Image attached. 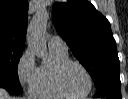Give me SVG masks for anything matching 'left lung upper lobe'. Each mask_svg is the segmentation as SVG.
<instances>
[{"mask_svg": "<svg viewBox=\"0 0 128 99\" xmlns=\"http://www.w3.org/2000/svg\"><path fill=\"white\" fill-rule=\"evenodd\" d=\"M57 32L89 72L96 88L110 79H120L116 42L109 21L86 0L53 5Z\"/></svg>", "mask_w": 128, "mask_h": 99, "instance_id": "5c2ea615", "label": "left lung upper lobe"}]
</instances>
